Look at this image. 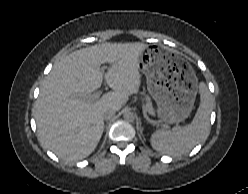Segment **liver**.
I'll use <instances>...</instances> for the list:
<instances>
[{"label":"liver","instance_id":"obj_1","mask_svg":"<svg viewBox=\"0 0 248 194\" xmlns=\"http://www.w3.org/2000/svg\"><path fill=\"white\" fill-rule=\"evenodd\" d=\"M146 47L140 42H106L74 51L56 63L35 105L40 142L66 161L89 156L102 136L105 111L120 110L138 92V56ZM105 62L111 64L105 77L113 91L96 102L83 100L101 86L100 66Z\"/></svg>","mask_w":248,"mask_h":194}]
</instances>
